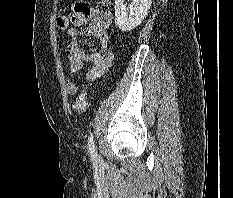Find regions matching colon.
I'll return each mask as SVG.
<instances>
[{
    "mask_svg": "<svg viewBox=\"0 0 233 198\" xmlns=\"http://www.w3.org/2000/svg\"><path fill=\"white\" fill-rule=\"evenodd\" d=\"M69 21L66 16H60L57 19L58 28L65 30L68 27ZM75 109L78 112H85L88 108L87 94L85 91L81 92L75 100Z\"/></svg>",
    "mask_w": 233,
    "mask_h": 198,
    "instance_id": "colon-1",
    "label": "colon"
}]
</instances>
